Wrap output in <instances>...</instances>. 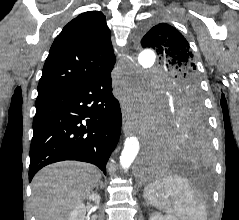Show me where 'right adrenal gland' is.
Here are the masks:
<instances>
[{
  "mask_svg": "<svg viewBox=\"0 0 239 220\" xmlns=\"http://www.w3.org/2000/svg\"><path fill=\"white\" fill-rule=\"evenodd\" d=\"M98 186H100L101 188L104 187L103 182L101 180H99L98 184L96 185L97 188H98Z\"/></svg>",
  "mask_w": 239,
  "mask_h": 220,
  "instance_id": "1",
  "label": "right adrenal gland"
}]
</instances>
